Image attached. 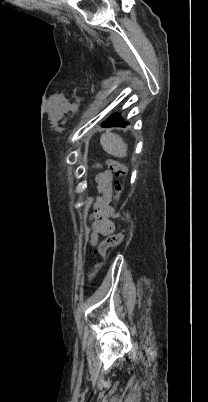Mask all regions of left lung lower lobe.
<instances>
[{"label": "left lung lower lobe", "instance_id": "obj_1", "mask_svg": "<svg viewBox=\"0 0 208 402\" xmlns=\"http://www.w3.org/2000/svg\"><path fill=\"white\" fill-rule=\"evenodd\" d=\"M127 122H124L119 115H112L110 118H108L103 124V127H123L124 125H127Z\"/></svg>", "mask_w": 208, "mask_h": 402}]
</instances>
